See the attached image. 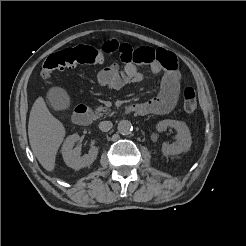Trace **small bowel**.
Segmentation results:
<instances>
[{
  "label": "small bowel",
  "instance_id": "obj_1",
  "mask_svg": "<svg viewBox=\"0 0 246 246\" xmlns=\"http://www.w3.org/2000/svg\"><path fill=\"white\" fill-rule=\"evenodd\" d=\"M103 54L115 55V62L97 75L99 85L120 89L127 84L142 82L145 78L136 64L148 65L152 74L163 73L159 93L142 103H136L135 112L141 115L169 113L177 104L181 87V75L176 56L165 49L142 47L134 49L130 44L107 40L102 45Z\"/></svg>",
  "mask_w": 246,
  "mask_h": 246
}]
</instances>
